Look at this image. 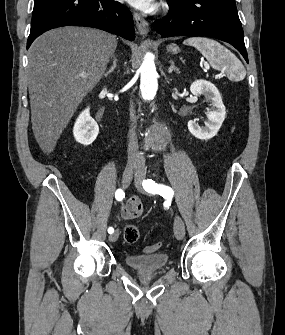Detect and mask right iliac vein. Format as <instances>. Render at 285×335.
<instances>
[{"label":"right iliac vein","mask_w":285,"mask_h":335,"mask_svg":"<svg viewBox=\"0 0 285 335\" xmlns=\"http://www.w3.org/2000/svg\"><path fill=\"white\" fill-rule=\"evenodd\" d=\"M135 175H136L135 171L129 168L123 172L122 185L124 188H127L130 185L132 178ZM118 236H119V232L118 230H116L112 235H110L109 237L110 242H115L118 239Z\"/></svg>","instance_id":"63e3f726"}]
</instances>
